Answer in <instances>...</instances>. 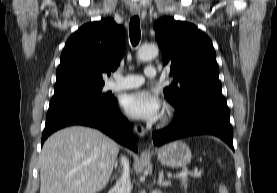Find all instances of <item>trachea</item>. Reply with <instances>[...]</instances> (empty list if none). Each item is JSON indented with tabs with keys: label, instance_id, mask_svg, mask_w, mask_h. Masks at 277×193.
I'll list each match as a JSON object with an SVG mask.
<instances>
[{
	"label": "trachea",
	"instance_id": "trachea-1",
	"mask_svg": "<svg viewBox=\"0 0 277 193\" xmlns=\"http://www.w3.org/2000/svg\"><path fill=\"white\" fill-rule=\"evenodd\" d=\"M129 35L132 45L136 46L139 43L141 37L140 21L137 16H134L130 19Z\"/></svg>",
	"mask_w": 277,
	"mask_h": 193
}]
</instances>
